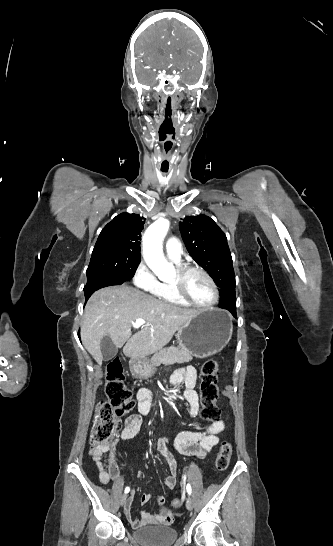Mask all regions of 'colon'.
Segmentation results:
<instances>
[{"label": "colon", "instance_id": "1", "mask_svg": "<svg viewBox=\"0 0 333 546\" xmlns=\"http://www.w3.org/2000/svg\"><path fill=\"white\" fill-rule=\"evenodd\" d=\"M220 367L216 360L209 359L204 362L200 372V397L202 419L214 422L220 419V410L216 405L218 398L217 380ZM106 399L96 408L94 426L91 432V444L96 446L108 445L117 436L121 427V418L130 413L134 408L132 391L127 386L121 362L113 358L107 363ZM232 455L230 443L223 442L215 460L217 472H224ZM174 508L182 504L180 499L172 501Z\"/></svg>", "mask_w": 333, "mask_h": 546}]
</instances>
